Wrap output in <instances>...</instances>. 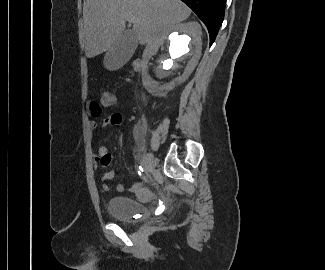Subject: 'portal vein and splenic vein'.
Instances as JSON below:
<instances>
[{
	"label": "portal vein and splenic vein",
	"instance_id": "18ae733b",
	"mask_svg": "<svg viewBox=\"0 0 325 270\" xmlns=\"http://www.w3.org/2000/svg\"><path fill=\"white\" fill-rule=\"evenodd\" d=\"M127 20L132 23H137L138 20L135 17H127Z\"/></svg>",
	"mask_w": 325,
	"mask_h": 270
}]
</instances>
